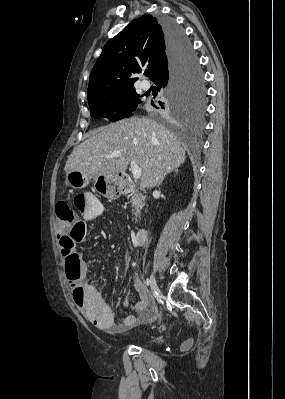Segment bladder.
<instances>
[{
    "label": "bladder",
    "mask_w": 285,
    "mask_h": 399,
    "mask_svg": "<svg viewBox=\"0 0 285 399\" xmlns=\"http://www.w3.org/2000/svg\"><path fill=\"white\" fill-rule=\"evenodd\" d=\"M138 339L140 341H143V342H148L149 341V338L147 336H145V335H142V336L138 337Z\"/></svg>",
    "instance_id": "1"
}]
</instances>
